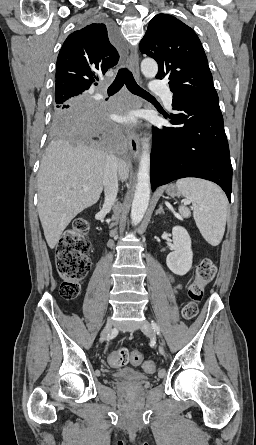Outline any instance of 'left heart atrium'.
Segmentation results:
<instances>
[{
	"mask_svg": "<svg viewBox=\"0 0 256 445\" xmlns=\"http://www.w3.org/2000/svg\"><path fill=\"white\" fill-rule=\"evenodd\" d=\"M118 118L127 123H133L136 121L137 113L135 111H129L125 114L119 115Z\"/></svg>",
	"mask_w": 256,
	"mask_h": 445,
	"instance_id": "obj_1",
	"label": "left heart atrium"
}]
</instances>
